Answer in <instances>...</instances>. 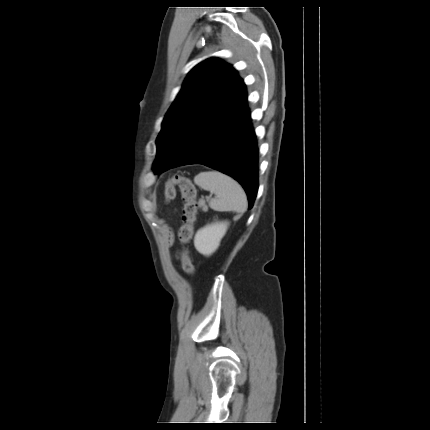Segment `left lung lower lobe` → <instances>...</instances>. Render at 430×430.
Returning <instances> with one entry per match:
<instances>
[{"label":"left lung lower lobe","mask_w":430,"mask_h":430,"mask_svg":"<svg viewBox=\"0 0 430 430\" xmlns=\"http://www.w3.org/2000/svg\"><path fill=\"white\" fill-rule=\"evenodd\" d=\"M187 164H203L236 179L251 209L258 190V147L249 108L229 119L206 115L158 172Z\"/></svg>","instance_id":"0a47b994"}]
</instances>
